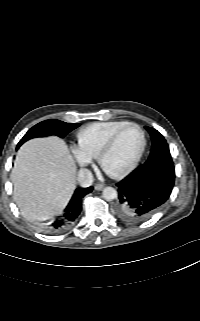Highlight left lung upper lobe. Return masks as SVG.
I'll list each match as a JSON object with an SVG mask.
<instances>
[{
    "label": "left lung upper lobe",
    "mask_w": 200,
    "mask_h": 321,
    "mask_svg": "<svg viewBox=\"0 0 200 321\" xmlns=\"http://www.w3.org/2000/svg\"><path fill=\"white\" fill-rule=\"evenodd\" d=\"M145 128L150 133L152 140L151 153L145 163L173 162L164 137L156 129L150 127Z\"/></svg>",
    "instance_id": "obj_1"
}]
</instances>
